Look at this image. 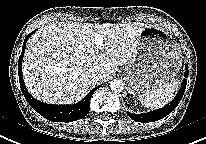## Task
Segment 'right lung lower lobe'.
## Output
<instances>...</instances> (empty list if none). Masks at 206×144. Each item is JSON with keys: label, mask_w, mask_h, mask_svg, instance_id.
I'll list each match as a JSON object with an SVG mask.
<instances>
[{"label": "right lung lower lobe", "mask_w": 206, "mask_h": 144, "mask_svg": "<svg viewBox=\"0 0 206 144\" xmlns=\"http://www.w3.org/2000/svg\"><path fill=\"white\" fill-rule=\"evenodd\" d=\"M35 31L28 34L24 40L22 53L19 57L18 61V75H19V82L20 87L23 92V95L29 105L37 111L40 115H42L44 118L48 119L49 121L53 122H72L79 119H82L85 117L89 110H90V100L93 95V93L101 86H97L94 89H92L85 98H83L80 102L73 105H52V104H46L43 102H40L39 100L35 99L31 94L27 91L23 76H22V60L23 55L26 48V42L28 41L29 37L34 33Z\"/></svg>", "instance_id": "1"}]
</instances>
